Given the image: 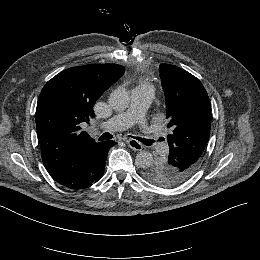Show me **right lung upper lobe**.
Segmentation results:
<instances>
[{"instance_id": "cb5924a9", "label": "right lung upper lobe", "mask_w": 260, "mask_h": 260, "mask_svg": "<svg viewBox=\"0 0 260 260\" xmlns=\"http://www.w3.org/2000/svg\"><path fill=\"white\" fill-rule=\"evenodd\" d=\"M118 64H90L62 71L43 87L36 109L42 161L50 175L91 151L95 142L80 124L94 117L96 100L124 73Z\"/></svg>"}]
</instances>
